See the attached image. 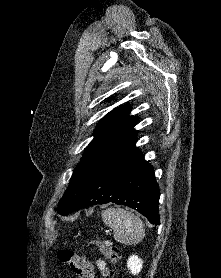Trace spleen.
I'll return each mask as SVG.
<instances>
[{"label":"spleen","instance_id":"spleen-1","mask_svg":"<svg viewBox=\"0 0 221 278\" xmlns=\"http://www.w3.org/2000/svg\"><path fill=\"white\" fill-rule=\"evenodd\" d=\"M102 218L113 229L114 239L121 244H137L145 236L142 220L125 209L107 208L102 211Z\"/></svg>","mask_w":221,"mask_h":278}]
</instances>
